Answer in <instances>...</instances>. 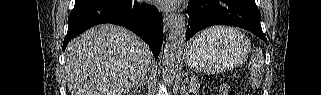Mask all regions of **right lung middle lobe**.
Returning a JSON list of instances; mask_svg holds the SVG:
<instances>
[{
	"mask_svg": "<svg viewBox=\"0 0 321 95\" xmlns=\"http://www.w3.org/2000/svg\"><path fill=\"white\" fill-rule=\"evenodd\" d=\"M93 1H100V0H76L75 4H81V3L93 2Z\"/></svg>",
	"mask_w": 321,
	"mask_h": 95,
	"instance_id": "obj_1",
	"label": "right lung middle lobe"
}]
</instances>
